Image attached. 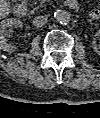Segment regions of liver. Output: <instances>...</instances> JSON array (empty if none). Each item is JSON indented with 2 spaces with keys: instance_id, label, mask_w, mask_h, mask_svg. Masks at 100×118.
I'll return each instance as SVG.
<instances>
[{
  "instance_id": "obj_1",
  "label": "liver",
  "mask_w": 100,
  "mask_h": 118,
  "mask_svg": "<svg viewBox=\"0 0 100 118\" xmlns=\"http://www.w3.org/2000/svg\"><path fill=\"white\" fill-rule=\"evenodd\" d=\"M9 11V5L6 0H1V13L3 15L8 14Z\"/></svg>"
}]
</instances>
